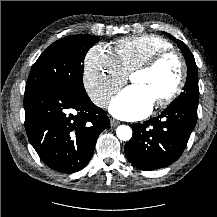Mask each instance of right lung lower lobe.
<instances>
[{
  "label": "right lung lower lobe",
  "instance_id": "right-lung-lower-lobe-1",
  "mask_svg": "<svg viewBox=\"0 0 217 217\" xmlns=\"http://www.w3.org/2000/svg\"><path fill=\"white\" fill-rule=\"evenodd\" d=\"M25 129L41 160L61 173L83 169L99 134L110 127L107 114L85 93L65 87L25 92Z\"/></svg>",
  "mask_w": 217,
  "mask_h": 217
}]
</instances>
